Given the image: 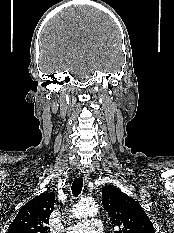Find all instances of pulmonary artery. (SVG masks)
Wrapping results in <instances>:
<instances>
[{"label":"pulmonary artery","mask_w":174,"mask_h":233,"mask_svg":"<svg viewBox=\"0 0 174 233\" xmlns=\"http://www.w3.org/2000/svg\"><path fill=\"white\" fill-rule=\"evenodd\" d=\"M103 224L99 219L91 218L65 228V233H102Z\"/></svg>","instance_id":"1"}]
</instances>
